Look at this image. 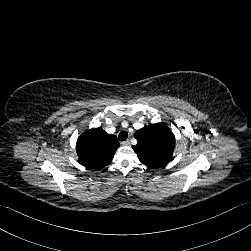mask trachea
Wrapping results in <instances>:
<instances>
[{
  "label": "trachea",
  "mask_w": 251,
  "mask_h": 251,
  "mask_svg": "<svg viewBox=\"0 0 251 251\" xmlns=\"http://www.w3.org/2000/svg\"><path fill=\"white\" fill-rule=\"evenodd\" d=\"M128 138V133L126 131H122L118 135V139L120 141H125Z\"/></svg>",
  "instance_id": "3493384b"
}]
</instances>
